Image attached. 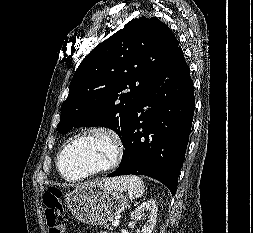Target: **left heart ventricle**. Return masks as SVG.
I'll use <instances>...</instances> for the list:
<instances>
[{"label":"left heart ventricle","mask_w":253,"mask_h":233,"mask_svg":"<svg viewBox=\"0 0 253 233\" xmlns=\"http://www.w3.org/2000/svg\"><path fill=\"white\" fill-rule=\"evenodd\" d=\"M114 153L113 144L103 135H91L71 144L62 157V171L76 177L108 163Z\"/></svg>","instance_id":"left-heart-ventricle-1"}]
</instances>
